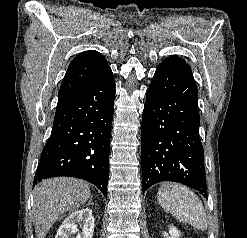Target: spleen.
Listing matches in <instances>:
<instances>
[{
	"mask_svg": "<svg viewBox=\"0 0 247 238\" xmlns=\"http://www.w3.org/2000/svg\"><path fill=\"white\" fill-rule=\"evenodd\" d=\"M157 198L161 207L176 219L197 229H207L202 202L188 187L176 183L164 184L159 188Z\"/></svg>",
	"mask_w": 247,
	"mask_h": 238,
	"instance_id": "3e777b00",
	"label": "spleen"
}]
</instances>
